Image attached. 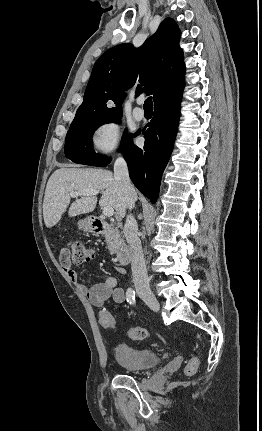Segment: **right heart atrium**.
Wrapping results in <instances>:
<instances>
[{
    "label": "right heart atrium",
    "instance_id": "obj_1",
    "mask_svg": "<svg viewBox=\"0 0 262 431\" xmlns=\"http://www.w3.org/2000/svg\"><path fill=\"white\" fill-rule=\"evenodd\" d=\"M122 129L115 119H108L98 124L91 137L93 151L98 155H109L115 152L121 142Z\"/></svg>",
    "mask_w": 262,
    "mask_h": 431
}]
</instances>
